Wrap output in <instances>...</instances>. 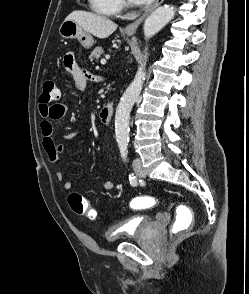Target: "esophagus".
I'll list each match as a JSON object with an SVG mask.
<instances>
[{
  "label": "esophagus",
  "instance_id": "34e87169",
  "mask_svg": "<svg viewBox=\"0 0 249 294\" xmlns=\"http://www.w3.org/2000/svg\"><path fill=\"white\" fill-rule=\"evenodd\" d=\"M164 2V0H156V2L135 22L127 25L124 28V31L127 34H134L137 30V28L139 27V25L143 22V20L153 11L155 10L158 6H160L162 3Z\"/></svg>",
  "mask_w": 249,
  "mask_h": 294
}]
</instances>
